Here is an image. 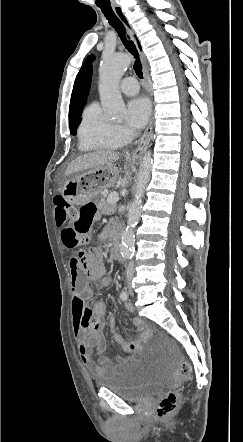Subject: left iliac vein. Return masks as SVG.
Here are the masks:
<instances>
[{
  "mask_svg": "<svg viewBox=\"0 0 243 442\" xmlns=\"http://www.w3.org/2000/svg\"><path fill=\"white\" fill-rule=\"evenodd\" d=\"M129 293H130V295H133V291H132L131 287L129 288Z\"/></svg>",
  "mask_w": 243,
  "mask_h": 442,
  "instance_id": "left-iliac-vein-1",
  "label": "left iliac vein"
}]
</instances>
